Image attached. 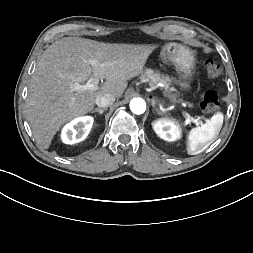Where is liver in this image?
I'll return each mask as SVG.
<instances>
[{
    "label": "liver",
    "instance_id": "obj_1",
    "mask_svg": "<svg viewBox=\"0 0 253 253\" xmlns=\"http://www.w3.org/2000/svg\"><path fill=\"white\" fill-rule=\"evenodd\" d=\"M155 48L80 37H65L51 44L37 63L26 101V118L36 141L49 148L61 126L93 110L97 96L109 93L121 97L127 81L142 73ZM91 77L106 81L95 90L71 89Z\"/></svg>",
    "mask_w": 253,
    "mask_h": 253
}]
</instances>
